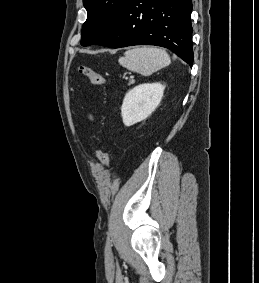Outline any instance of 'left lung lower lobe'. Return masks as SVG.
<instances>
[{"label":"left lung lower lobe","instance_id":"0a47b994","mask_svg":"<svg viewBox=\"0 0 259 283\" xmlns=\"http://www.w3.org/2000/svg\"><path fill=\"white\" fill-rule=\"evenodd\" d=\"M192 0H128L116 24L97 45H156L192 65Z\"/></svg>","mask_w":259,"mask_h":283}]
</instances>
